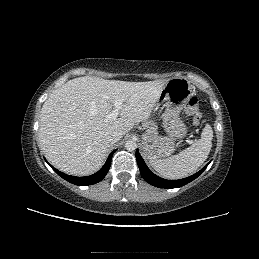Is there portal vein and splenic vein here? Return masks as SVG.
Listing matches in <instances>:
<instances>
[{
  "label": "portal vein and splenic vein",
  "mask_w": 259,
  "mask_h": 259,
  "mask_svg": "<svg viewBox=\"0 0 259 259\" xmlns=\"http://www.w3.org/2000/svg\"><path fill=\"white\" fill-rule=\"evenodd\" d=\"M123 105V101L121 99H118L114 102V109L109 112V114L107 115L108 118H117V116L119 115V112L122 108Z\"/></svg>",
  "instance_id": "obj_1"
}]
</instances>
